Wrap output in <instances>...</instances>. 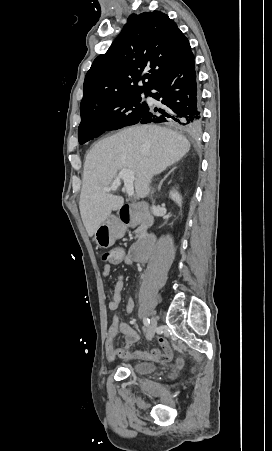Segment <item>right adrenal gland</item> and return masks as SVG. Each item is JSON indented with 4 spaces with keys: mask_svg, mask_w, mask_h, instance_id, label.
Segmentation results:
<instances>
[{
    "mask_svg": "<svg viewBox=\"0 0 272 451\" xmlns=\"http://www.w3.org/2000/svg\"><path fill=\"white\" fill-rule=\"evenodd\" d=\"M174 170H176V168H172V170H170V172H168L167 176H165V178H163V180H161V182H160V184L158 186V192H160L161 186H162L164 180H166V178H168V176H170L171 172H174Z\"/></svg>",
    "mask_w": 272,
    "mask_h": 451,
    "instance_id": "2a0ac1e0",
    "label": "right adrenal gland"
}]
</instances>
